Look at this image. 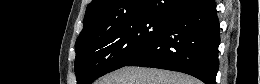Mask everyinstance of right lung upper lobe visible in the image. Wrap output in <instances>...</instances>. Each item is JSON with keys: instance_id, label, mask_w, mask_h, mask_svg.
Listing matches in <instances>:
<instances>
[{"instance_id": "obj_1", "label": "right lung upper lobe", "mask_w": 260, "mask_h": 84, "mask_svg": "<svg viewBox=\"0 0 260 84\" xmlns=\"http://www.w3.org/2000/svg\"><path fill=\"white\" fill-rule=\"evenodd\" d=\"M195 0H93L86 9L84 28L76 45L92 40L116 22L142 16L165 15L182 10Z\"/></svg>"}]
</instances>
